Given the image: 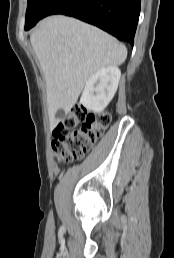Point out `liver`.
I'll return each mask as SVG.
<instances>
[{
  "label": "liver",
  "instance_id": "obj_1",
  "mask_svg": "<svg viewBox=\"0 0 174 258\" xmlns=\"http://www.w3.org/2000/svg\"><path fill=\"white\" fill-rule=\"evenodd\" d=\"M30 41L45 77L51 129L56 112H70L94 73L127 57L126 47L111 35L63 15L43 19Z\"/></svg>",
  "mask_w": 174,
  "mask_h": 258
}]
</instances>
